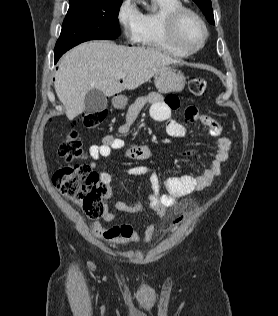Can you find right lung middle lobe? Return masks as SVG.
I'll use <instances>...</instances> for the list:
<instances>
[{
    "instance_id": "dd1d6c3e",
    "label": "right lung middle lobe",
    "mask_w": 278,
    "mask_h": 316,
    "mask_svg": "<svg viewBox=\"0 0 278 316\" xmlns=\"http://www.w3.org/2000/svg\"><path fill=\"white\" fill-rule=\"evenodd\" d=\"M55 54L88 40L116 39L120 35L118 13L122 0H69Z\"/></svg>"
}]
</instances>
